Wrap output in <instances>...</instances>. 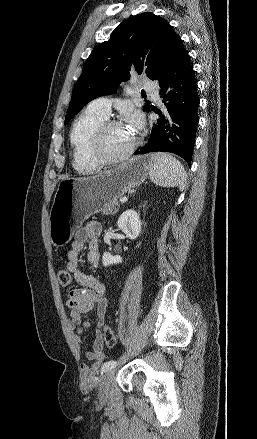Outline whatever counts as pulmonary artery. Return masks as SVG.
<instances>
[{"mask_svg": "<svg viewBox=\"0 0 257 439\" xmlns=\"http://www.w3.org/2000/svg\"><path fill=\"white\" fill-rule=\"evenodd\" d=\"M144 89L153 100L159 101L160 97L156 83L151 80H147L144 83ZM88 108L105 117H108L111 111V100L107 97H99L91 101L88 105Z\"/></svg>", "mask_w": 257, "mask_h": 439, "instance_id": "pulmonary-artery-1", "label": "pulmonary artery"}]
</instances>
